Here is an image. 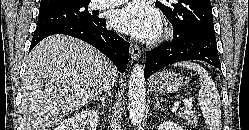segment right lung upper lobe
Returning <instances> with one entry per match:
<instances>
[{
    "mask_svg": "<svg viewBox=\"0 0 249 130\" xmlns=\"http://www.w3.org/2000/svg\"><path fill=\"white\" fill-rule=\"evenodd\" d=\"M82 1L90 0H41L40 8L71 6Z\"/></svg>",
    "mask_w": 249,
    "mask_h": 130,
    "instance_id": "cb5924a9",
    "label": "right lung upper lobe"
}]
</instances>
